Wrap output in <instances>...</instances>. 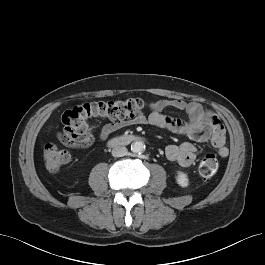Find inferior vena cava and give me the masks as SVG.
<instances>
[{"mask_svg": "<svg viewBox=\"0 0 265 265\" xmlns=\"http://www.w3.org/2000/svg\"><path fill=\"white\" fill-rule=\"evenodd\" d=\"M127 148L124 146H117L112 149V156L113 157H123L127 155Z\"/></svg>", "mask_w": 265, "mask_h": 265, "instance_id": "obj_1", "label": "inferior vena cava"}]
</instances>
